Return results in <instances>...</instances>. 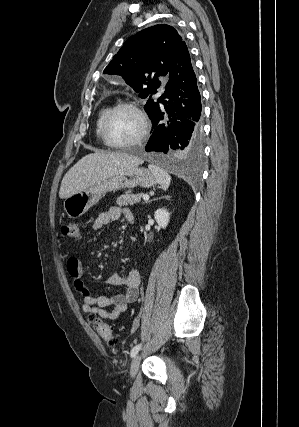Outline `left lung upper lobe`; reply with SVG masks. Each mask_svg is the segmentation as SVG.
I'll use <instances>...</instances> for the list:
<instances>
[{
    "label": "left lung upper lobe",
    "instance_id": "5c2ea615",
    "mask_svg": "<svg viewBox=\"0 0 299 427\" xmlns=\"http://www.w3.org/2000/svg\"><path fill=\"white\" fill-rule=\"evenodd\" d=\"M177 30L155 25L130 37L103 71L122 76L140 98L149 97L144 106L151 116L155 101L150 99L160 86L158 76H166L182 42Z\"/></svg>",
    "mask_w": 299,
    "mask_h": 427
}]
</instances>
